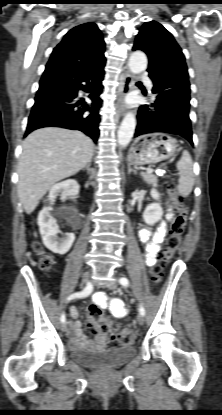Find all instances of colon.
I'll use <instances>...</instances> for the list:
<instances>
[{"label":"colon","instance_id":"5ec220e1","mask_svg":"<svg viewBox=\"0 0 222 415\" xmlns=\"http://www.w3.org/2000/svg\"><path fill=\"white\" fill-rule=\"evenodd\" d=\"M169 192L174 200V218L161 257L151 269V281L154 284L160 281L163 270L174 257L185 231L188 216V206L185 198L178 194L172 186H169ZM33 247L36 251H40L37 244H34ZM38 262L39 266L43 269H48L52 265V259L41 253ZM86 315L93 331L101 334H108L110 336L111 346L113 348L135 343L139 339V333L136 330H114L110 324L104 320L101 309L96 305L89 306Z\"/></svg>","mask_w":222,"mask_h":415}]
</instances>
